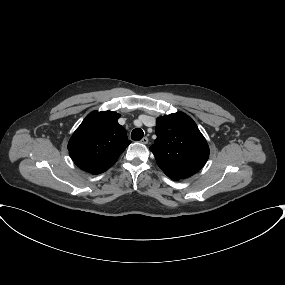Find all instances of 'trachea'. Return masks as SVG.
Segmentation results:
<instances>
[{
  "instance_id": "obj_1",
  "label": "trachea",
  "mask_w": 285,
  "mask_h": 285,
  "mask_svg": "<svg viewBox=\"0 0 285 285\" xmlns=\"http://www.w3.org/2000/svg\"><path fill=\"white\" fill-rule=\"evenodd\" d=\"M144 136V132L142 129L140 128H136L132 131L131 133V139L134 141H139L143 138Z\"/></svg>"
}]
</instances>
